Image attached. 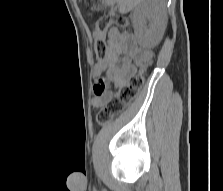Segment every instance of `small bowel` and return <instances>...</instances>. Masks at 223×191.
I'll use <instances>...</instances> for the list:
<instances>
[{"mask_svg":"<svg viewBox=\"0 0 223 191\" xmlns=\"http://www.w3.org/2000/svg\"><path fill=\"white\" fill-rule=\"evenodd\" d=\"M107 60L110 66L106 73H101L93 86L92 104L100 106L111 94V85L122 87L127 79L136 72L137 66L145 62L151 55L148 49L140 47L135 39L126 33L112 28L107 38Z\"/></svg>","mask_w":223,"mask_h":191,"instance_id":"small-bowel-1","label":"small bowel"}]
</instances>
